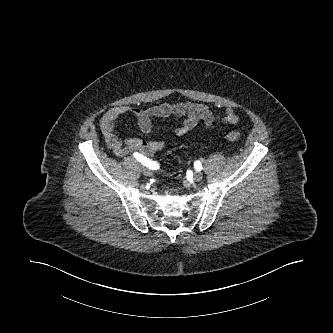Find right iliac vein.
I'll return each instance as SVG.
<instances>
[{"mask_svg": "<svg viewBox=\"0 0 333 333\" xmlns=\"http://www.w3.org/2000/svg\"><path fill=\"white\" fill-rule=\"evenodd\" d=\"M142 172H143L144 175L149 176V177L152 175L151 169L147 168V167H143Z\"/></svg>", "mask_w": 333, "mask_h": 333, "instance_id": "obj_1", "label": "right iliac vein"}]
</instances>
